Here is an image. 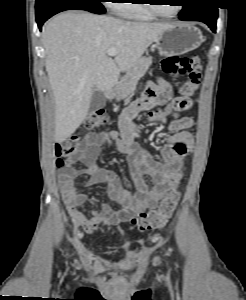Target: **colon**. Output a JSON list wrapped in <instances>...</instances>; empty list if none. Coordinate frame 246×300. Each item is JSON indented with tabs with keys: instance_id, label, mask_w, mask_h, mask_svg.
<instances>
[{
	"instance_id": "5ec220e1",
	"label": "colon",
	"mask_w": 246,
	"mask_h": 300,
	"mask_svg": "<svg viewBox=\"0 0 246 300\" xmlns=\"http://www.w3.org/2000/svg\"><path fill=\"white\" fill-rule=\"evenodd\" d=\"M162 71L168 76H184L187 80L181 85L180 93L183 96L194 94L201 82L202 64L197 55L169 56L161 61ZM170 112L168 109H155L148 115V120H163ZM107 117L103 109L93 110L85 120L87 129H94L104 125ZM79 138L72 136L69 139L56 144V165L63 166L64 160L77 152ZM180 199V193L174 186L167 190L160 205L148 212L135 215L131 222L141 231H148L162 226L173 214Z\"/></svg>"
}]
</instances>
